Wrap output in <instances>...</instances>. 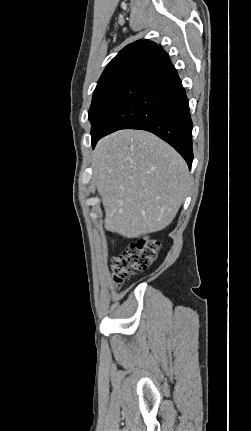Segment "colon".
<instances>
[{
  "instance_id": "5ec220e1",
  "label": "colon",
  "mask_w": 251,
  "mask_h": 431,
  "mask_svg": "<svg viewBox=\"0 0 251 431\" xmlns=\"http://www.w3.org/2000/svg\"><path fill=\"white\" fill-rule=\"evenodd\" d=\"M160 243L150 237H143L130 244L111 263L114 283L119 286L130 275L147 269L156 259Z\"/></svg>"
}]
</instances>
